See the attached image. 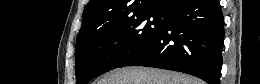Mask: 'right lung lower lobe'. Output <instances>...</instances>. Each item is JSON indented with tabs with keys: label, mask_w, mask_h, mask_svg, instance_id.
<instances>
[{
	"label": "right lung lower lobe",
	"mask_w": 260,
	"mask_h": 84,
	"mask_svg": "<svg viewBox=\"0 0 260 84\" xmlns=\"http://www.w3.org/2000/svg\"><path fill=\"white\" fill-rule=\"evenodd\" d=\"M223 44L219 0H184L166 13L161 33L127 65L184 72L220 84Z\"/></svg>",
	"instance_id": "obj_1"
}]
</instances>
